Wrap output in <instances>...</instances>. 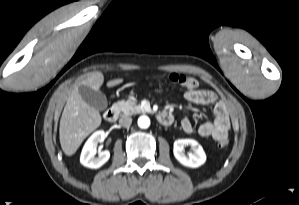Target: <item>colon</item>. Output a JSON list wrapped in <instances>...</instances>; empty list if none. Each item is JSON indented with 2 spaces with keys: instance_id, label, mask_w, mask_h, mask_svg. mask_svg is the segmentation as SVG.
<instances>
[{
  "instance_id": "colon-1",
  "label": "colon",
  "mask_w": 299,
  "mask_h": 205,
  "mask_svg": "<svg viewBox=\"0 0 299 205\" xmlns=\"http://www.w3.org/2000/svg\"><path fill=\"white\" fill-rule=\"evenodd\" d=\"M168 82L172 86L176 87H181L185 88L187 90H195L199 83L196 78L186 75V74H181V73H172L168 76ZM229 143L228 138H222L218 141L219 147H226Z\"/></svg>"
}]
</instances>
